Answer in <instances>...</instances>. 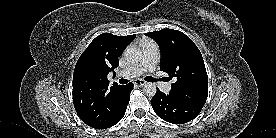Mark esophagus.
<instances>
[{"label": "esophagus", "mask_w": 276, "mask_h": 138, "mask_svg": "<svg viewBox=\"0 0 276 138\" xmlns=\"http://www.w3.org/2000/svg\"><path fill=\"white\" fill-rule=\"evenodd\" d=\"M134 84L138 85V86H144L146 84V82L142 79H137L134 81Z\"/></svg>", "instance_id": "1"}]
</instances>
